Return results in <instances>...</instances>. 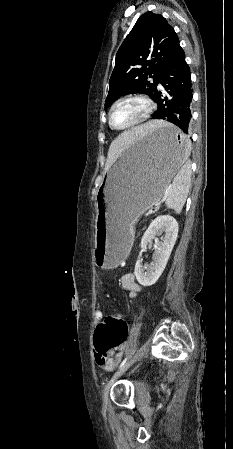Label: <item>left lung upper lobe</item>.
<instances>
[{
  "instance_id": "obj_1",
  "label": "left lung upper lobe",
  "mask_w": 233,
  "mask_h": 449,
  "mask_svg": "<svg viewBox=\"0 0 233 449\" xmlns=\"http://www.w3.org/2000/svg\"><path fill=\"white\" fill-rule=\"evenodd\" d=\"M181 50L177 34L162 15L140 16L116 54L105 109L126 94L153 97L161 73Z\"/></svg>"
}]
</instances>
